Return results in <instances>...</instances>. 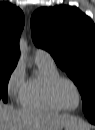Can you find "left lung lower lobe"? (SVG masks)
Returning <instances> with one entry per match:
<instances>
[{"instance_id": "left-lung-lower-lobe-1", "label": "left lung lower lobe", "mask_w": 95, "mask_h": 130, "mask_svg": "<svg viewBox=\"0 0 95 130\" xmlns=\"http://www.w3.org/2000/svg\"><path fill=\"white\" fill-rule=\"evenodd\" d=\"M87 119H88L91 123L95 124V115L87 116Z\"/></svg>"}]
</instances>
